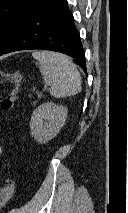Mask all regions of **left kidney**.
Here are the masks:
<instances>
[{
    "mask_svg": "<svg viewBox=\"0 0 128 213\" xmlns=\"http://www.w3.org/2000/svg\"><path fill=\"white\" fill-rule=\"evenodd\" d=\"M68 109L53 102L43 103L32 113L30 121L31 134L39 143H47L63 127Z\"/></svg>",
    "mask_w": 128,
    "mask_h": 213,
    "instance_id": "5707ae66",
    "label": "left kidney"
}]
</instances>
